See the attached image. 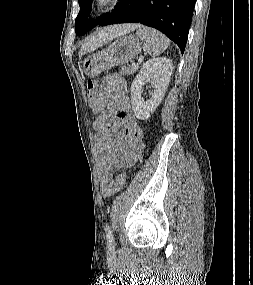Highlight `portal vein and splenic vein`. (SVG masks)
Listing matches in <instances>:
<instances>
[{
  "label": "portal vein and splenic vein",
  "instance_id": "1",
  "mask_svg": "<svg viewBox=\"0 0 253 285\" xmlns=\"http://www.w3.org/2000/svg\"><path fill=\"white\" fill-rule=\"evenodd\" d=\"M143 60V57H139V62H141Z\"/></svg>",
  "mask_w": 253,
  "mask_h": 285
}]
</instances>
